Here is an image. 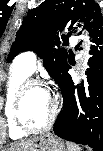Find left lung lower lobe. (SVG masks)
Returning a JSON list of instances; mask_svg holds the SVG:
<instances>
[{
  "mask_svg": "<svg viewBox=\"0 0 103 151\" xmlns=\"http://www.w3.org/2000/svg\"><path fill=\"white\" fill-rule=\"evenodd\" d=\"M87 85L74 87L68 74L70 59L55 81L62 97L63 107L55 121L54 133L66 140L88 145L93 151L103 149V30L91 29Z\"/></svg>",
  "mask_w": 103,
  "mask_h": 151,
  "instance_id": "1",
  "label": "left lung lower lobe"
}]
</instances>
